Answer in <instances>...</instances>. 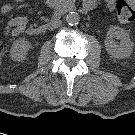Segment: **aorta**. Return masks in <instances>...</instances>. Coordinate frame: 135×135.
Here are the masks:
<instances>
[{"label":"aorta","mask_w":135,"mask_h":135,"mask_svg":"<svg viewBox=\"0 0 135 135\" xmlns=\"http://www.w3.org/2000/svg\"><path fill=\"white\" fill-rule=\"evenodd\" d=\"M66 19V22L69 24V25H76L78 24L79 22V16L77 13L75 12H70L66 15L65 17Z\"/></svg>","instance_id":"1"}]
</instances>
